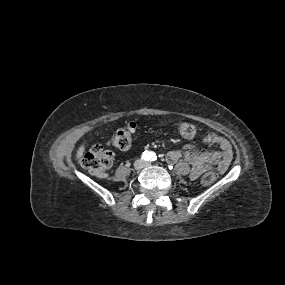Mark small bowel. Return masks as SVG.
<instances>
[{"instance_id":"c3829d8e","label":"small bowel","mask_w":285,"mask_h":285,"mask_svg":"<svg viewBox=\"0 0 285 285\" xmlns=\"http://www.w3.org/2000/svg\"><path fill=\"white\" fill-rule=\"evenodd\" d=\"M209 145H216L219 151L200 152L191 144L184 146L182 150H171L166 155V160L176 163L184 158L192 166V177L196 178L206 169L215 166L220 173H224L232 160V147L230 142L217 134L210 133L205 137Z\"/></svg>"}]
</instances>
